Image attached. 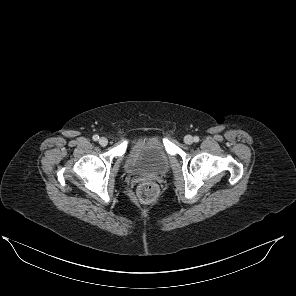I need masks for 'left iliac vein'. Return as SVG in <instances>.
Listing matches in <instances>:
<instances>
[{
	"label": "left iliac vein",
	"mask_w": 296,
	"mask_h": 296,
	"mask_svg": "<svg viewBox=\"0 0 296 296\" xmlns=\"http://www.w3.org/2000/svg\"><path fill=\"white\" fill-rule=\"evenodd\" d=\"M184 142L188 145L192 144L193 143V137L191 135H186L184 137Z\"/></svg>",
	"instance_id": "1"
}]
</instances>
